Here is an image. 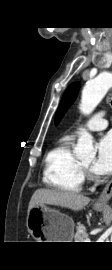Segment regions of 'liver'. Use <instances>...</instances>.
<instances>
[{
    "mask_svg": "<svg viewBox=\"0 0 112 270\" xmlns=\"http://www.w3.org/2000/svg\"><path fill=\"white\" fill-rule=\"evenodd\" d=\"M90 198L79 193L55 190V189H37L29 202L28 212L36 205L49 204L69 208L73 211L82 210Z\"/></svg>",
    "mask_w": 112,
    "mask_h": 270,
    "instance_id": "6515ba94",
    "label": "liver"
}]
</instances>
